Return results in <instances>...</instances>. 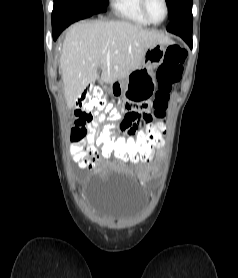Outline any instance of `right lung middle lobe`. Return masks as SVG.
<instances>
[{"label":"right lung middle lobe","instance_id":"dd1d6c3e","mask_svg":"<svg viewBox=\"0 0 238 278\" xmlns=\"http://www.w3.org/2000/svg\"><path fill=\"white\" fill-rule=\"evenodd\" d=\"M59 1L75 2L79 5L87 8L93 14L105 12L107 9V3H108L107 2L108 0H54V3L59 2Z\"/></svg>","mask_w":238,"mask_h":278}]
</instances>
